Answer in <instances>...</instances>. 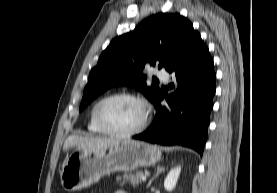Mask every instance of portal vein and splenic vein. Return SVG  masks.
I'll return each mask as SVG.
<instances>
[{
	"instance_id": "obj_1",
	"label": "portal vein and splenic vein",
	"mask_w": 277,
	"mask_h": 193,
	"mask_svg": "<svg viewBox=\"0 0 277 193\" xmlns=\"http://www.w3.org/2000/svg\"><path fill=\"white\" fill-rule=\"evenodd\" d=\"M146 179H147L146 176H142V177H141V180H142V181H146Z\"/></svg>"
}]
</instances>
